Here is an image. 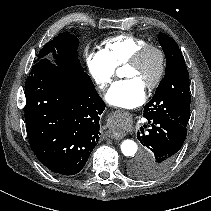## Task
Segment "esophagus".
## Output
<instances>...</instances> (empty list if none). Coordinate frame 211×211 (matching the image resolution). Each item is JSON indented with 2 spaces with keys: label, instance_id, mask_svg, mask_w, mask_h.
<instances>
[{
  "label": "esophagus",
  "instance_id": "obj_1",
  "mask_svg": "<svg viewBox=\"0 0 211 211\" xmlns=\"http://www.w3.org/2000/svg\"><path fill=\"white\" fill-rule=\"evenodd\" d=\"M118 115H122L123 113H122V111H117L116 112ZM115 139H120V138H122V136H117V137H114Z\"/></svg>",
  "mask_w": 211,
  "mask_h": 211
}]
</instances>
